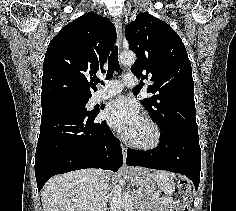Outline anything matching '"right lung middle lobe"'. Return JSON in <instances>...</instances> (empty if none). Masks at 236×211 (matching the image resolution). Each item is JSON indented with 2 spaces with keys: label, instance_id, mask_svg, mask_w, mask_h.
Segmentation results:
<instances>
[{
  "label": "right lung middle lobe",
  "instance_id": "right-lung-middle-lobe-1",
  "mask_svg": "<svg viewBox=\"0 0 236 211\" xmlns=\"http://www.w3.org/2000/svg\"><path fill=\"white\" fill-rule=\"evenodd\" d=\"M89 99L59 98L42 104V112L68 110L78 115L91 114L85 105Z\"/></svg>",
  "mask_w": 236,
  "mask_h": 211
}]
</instances>
